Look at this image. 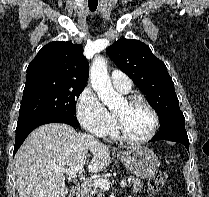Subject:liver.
Segmentation results:
<instances>
[{
	"label": "liver",
	"instance_id": "6515ba94",
	"mask_svg": "<svg viewBox=\"0 0 209 197\" xmlns=\"http://www.w3.org/2000/svg\"><path fill=\"white\" fill-rule=\"evenodd\" d=\"M109 148L67 124L50 123L36 128L15 156L19 197H66L62 170L89 158L88 171L100 172L111 162Z\"/></svg>",
	"mask_w": 209,
	"mask_h": 197
}]
</instances>
